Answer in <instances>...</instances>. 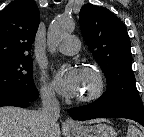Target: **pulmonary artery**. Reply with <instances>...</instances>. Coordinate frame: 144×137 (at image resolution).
I'll use <instances>...</instances> for the list:
<instances>
[{"label":"pulmonary artery","instance_id":"pulmonary-artery-1","mask_svg":"<svg viewBox=\"0 0 144 137\" xmlns=\"http://www.w3.org/2000/svg\"><path fill=\"white\" fill-rule=\"evenodd\" d=\"M80 48V41L76 36H68L58 46V51L65 55H72Z\"/></svg>","mask_w":144,"mask_h":137}]
</instances>
